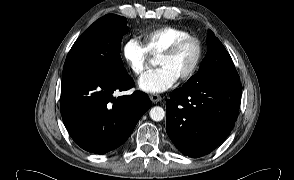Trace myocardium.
<instances>
[{
  "label": "myocardium",
  "mask_w": 294,
  "mask_h": 180,
  "mask_svg": "<svg viewBox=\"0 0 294 180\" xmlns=\"http://www.w3.org/2000/svg\"><path fill=\"white\" fill-rule=\"evenodd\" d=\"M193 43L196 48V56L190 69L179 78V81L186 82L190 80L198 71L203 59L204 48L201 40L193 35H187L176 39L159 57H170L175 55L185 44Z\"/></svg>",
  "instance_id": "myocardium-1"
}]
</instances>
